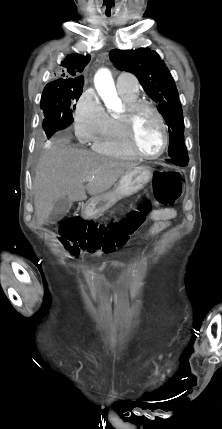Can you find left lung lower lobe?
I'll use <instances>...</instances> for the list:
<instances>
[{
  "instance_id": "0a47b994",
  "label": "left lung lower lobe",
  "mask_w": 222,
  "mask_h": 429,
  "mask_svg": "<svg viewBox=\"0 0 222 429\" xmlns=\"http://www.w3.org/2000/svg\"><path fill=\"white\" fill-rule=\"evenodd\" d=\"M167 161L181 167H185L188 165V161H183V160L174 159V158H168Z\"/></svg>"
}]
</instances>
